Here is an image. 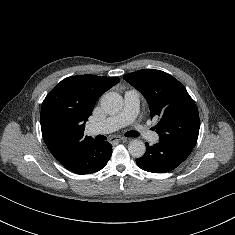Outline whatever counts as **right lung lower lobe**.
<instances>
[{"label":"right lung lower lobe","instance_id":"right-lung-lower-lobe-1","mask_svg":"<svg viewBox=\"0 0 235 235\" xmlns=\"http://www.w3.org/2000/svg\"><path fill=\"white\" fill-rule=\"evenodd\" d=\"M111 155L110 143L93 140L83 145L74 158L63 166L77 174H91L104 168Z\"/></svg>","mask_w":235,"mask_h":235}]
</instances>
